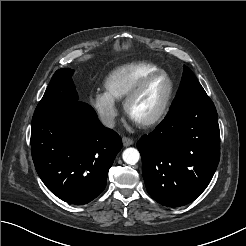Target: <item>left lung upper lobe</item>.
I'll return each instance as SVG.
<instances>
[{"mask_svg": "<svg viewBox=\"0 0 246 246\" xmlns=\"http://www.w3.org/2000/svg\"><path fill=\"white\" fill-rule=\"evenodd\" d=\"M205 97H208L205 90L193 72L184 65L182 81L170 110H173L190 101L199 100Z\"/></svg>", "mask_w": 246, "mask_h": 246, "instance_id": "left-lung-upper-lobe-1", "label": "left lung upper lobe"}]
</instances>
